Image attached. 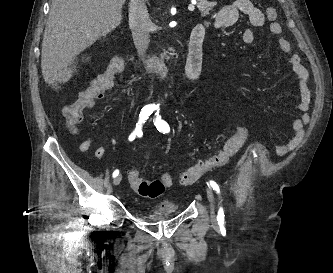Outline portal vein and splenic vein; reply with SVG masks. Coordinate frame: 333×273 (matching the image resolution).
<instances>
[{
  "label": "portal vein and splenic vein",
  "instance_id": "18ae733b",
  "mask_svg": "<svg viewBox=\"0 0 333 273\" xmlns=\"http://www.w3.org/2000/svg\"><path fill=\"white\" fill-rule=\"evenodd\" d=\"M194 8H195V7H194V5H193V4H190V5L188 6V10H189V11H193V10H194Z\"/></svg>",
  "mask_w": 333,
  "mask_h": 273
}]
</instances>
